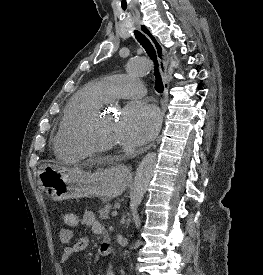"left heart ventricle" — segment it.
<instances>
[{
	"label": "left heart ventricle",
	"mask_w": 263,
	"mask_h": 275,
	"mask_svg": "<svg viewBox=\"0 0 263 275\" xmlns=\"http://www.w3.org/2000/svg\"><path fill=\"white\" fill-rule=\"evenodd\" d=\"M118 120L115 114L111 112H105L99 121L97 128L98 138L107 143H122L118 134Z\"/></svg>",
	"instance_id": "left-heart-ventricle-1"
}]
</instances>
